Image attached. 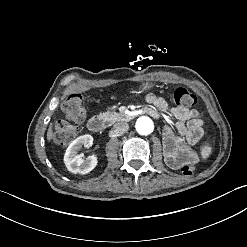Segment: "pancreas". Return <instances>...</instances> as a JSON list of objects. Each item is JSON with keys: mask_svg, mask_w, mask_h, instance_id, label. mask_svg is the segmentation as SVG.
Wrapping results in <instances>:
<instances>
[{"mask_svg": "<svg viewBox=\"0 0 247 247\" xmlns=\"http://www.w3.org/2000/svg\"><path fill=\"white\" fill-rule=\"evenodd\" d=\"M100 116L103 119L109 121L110 123H115L117 121H123V120H126L129 118L124 113H117V112H110V111H107L105 113H101Z\"/></svg>", "mask_w": 247, "mask_h": 247, "instance_id": "1", "label": "pancreas"}]
</instances>
